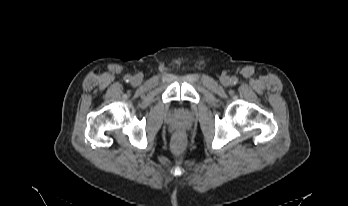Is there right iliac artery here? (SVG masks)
<instances>
[{"label": "right iliac artery", "instance_id": "right-iliac-artery-1", "mask_svg": "<svg viewBox=\"0 0 348 206\" xmlns=\"http://www.w3.org/2000/svg\"><path fill=\"white\" fill-rule=\"evenodd\" d=\"M125 81L126 82H130L131 81V76L130 75H126L125 76Z\"/></svg>", "mask_w": 348, "mask_h": 206}]
</instances>
